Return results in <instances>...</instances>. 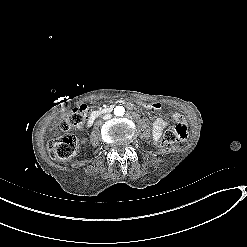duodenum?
I'll use <instances>...</instances> for the list:
<instances>
[{"mask_svg":"<svg viewBox=\"0 0 247 247\" xmlns=\"http://www.w3.org/2000/svg\"><path fill=\"white\" fill-rule=\"evenodd\" d=\"M112 110H113V107H107L104 109L93 111L90 114V116L88 117L87 125L92 126L97 118H99L100 116H102L104 114H108V113L112 112Z\"/></svg>","mask_w":247,"mask_h":247,"instance_id":"obj_1","label":"duodenum"}]
</instances>
